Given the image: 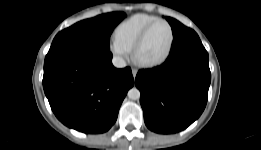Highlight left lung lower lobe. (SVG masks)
<instances>
[{
	"mask_svg": "<svg viewBox=\"0 0 261 150\" xmlns=\"http://www.w3.org/2000/svg\"><path fill=\"white\" fill-rule=\"evenodd\" d=\"M208 59L198 35L186 27L174 36L170 54L161 66L138 72L135 84L150 130L176 133L199 118L211 81Z\"/></svg>",
	"mask_w": 261,
	"mask_h": 150,
	"instance_id": "left-lung-lower-lobe-1",
	"label": "left lung lower lobe"
}]
</instances>
